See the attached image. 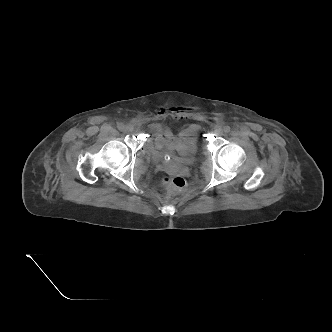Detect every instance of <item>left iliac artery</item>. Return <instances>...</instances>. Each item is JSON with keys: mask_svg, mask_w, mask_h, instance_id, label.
<instances>
[{"mask_svg": "<svg viewBox=\"0 0 332 332\" xmlns=\"http://www.w3.org/2000/svg\"><path fill=\"white\" fill-rule=\"evenodd\" d=\"M230 130H231V128H230L229 126H225V127H224V132H225V133H229Z\"/></svg>", "mask_w": 332, "mask_h": 332, "instance_id": "1", "label": "left iliac artery"}]
</instances>
